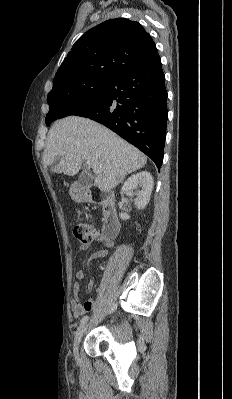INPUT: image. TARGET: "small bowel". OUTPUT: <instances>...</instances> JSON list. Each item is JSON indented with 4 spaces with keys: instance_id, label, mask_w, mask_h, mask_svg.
<instances>
[{
    "instance_id": "c3829d8e",
    "label": "small bowel",
    "mask_w": 232,
    "mask_h": 399,
    "mask_svg": "<svg viewBox=\"0 0 232 399\" xmlns=\"http://www.w3.org/2000/svg\"><path fill=\"white\" fill-rule=\"evenodd\" d=\"M112 246L111 242H104L101 247L99 248L98 251L93 252L89 255L90 260H95L102 258L106 255L107 250ZM90 247V244L88 242H82L80 245V248L82 251L88 250ZM77 276L79 279H84L85 277V271L83 269L78 270ZM93 280L89 279L86 290L88 292L92 291L93 289ZM93 307V301L87 300L84 303H81L80 300V284L79 282H74L73 283V294L72 297L70 298V317L72 319H75L79 316H82L85 314L86 311L90 310ZM128 326H133L132 323H129Z\"/></svg>"
}]
</instances>
